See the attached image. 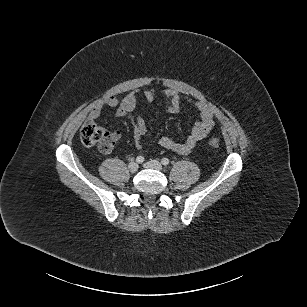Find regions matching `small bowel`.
I'll return each mask as SVG.
<instances>
[{
  "instance_id": "c3829d8e",
  "label": "small bowel",
  "mask_w": 307,
  "mask_h": 307,
  "mask_svg": "<svg viewBox=\"0 0 307 307\" xmlns=\"http://www.w3.org/2000/svg\"><path fill=\"white\" fill-rule=\"evenodd\" d=\"M139 90H134L128 93L123 99L111 96L99 102L91 111L89 120L97 119L104 108H116V117H127L130 119L133 126V141L136 148L142 147V139L147 133V126L143 118L135 113ZM143 98L152 103L154 94L151 91H143ZM167 98V109L170 113H177L181 107L182 98L180 94L172 89L165 90ZM195 110L199 113V120L193 125L189 135L183 142H176L168 137H161L158 141L159 145L167 150L176 152L178 154L189 153L198 142L203 140L214 126L213 112L211 108L204 102L192 101L186 99Z\"/></svg>"
}]
</instances>
